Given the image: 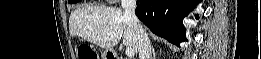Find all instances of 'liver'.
<instances>
[{
    "label": "liver",
    "instance_id": "liver-1",
    "mask_svg": "<svg viewBox=\"0 0 261 59\" xmlns=\"http://www.w3.org/2000/svg\"><path fill=\"white\" fill-rule=\"evenodd\" d=\"M71 36H80L104 49L123 44L139 51L135 29L120 8L86 5L74 10L69 19Z\"/></svg>",
    "mask_w": 261,
    "mask_h": 59
}]
</instances>
